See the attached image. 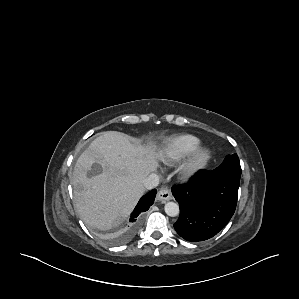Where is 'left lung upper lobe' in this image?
<instances>
[{"instance_id":"1","label":"left lung upper lobe","mask_w":299,"mask_h":299,"mask_svg":"<svg viewBox=\"0 0 299 299\" xmlns=\"http://www.w3.org/2000/svg\"><path fill=\"white\" fill-rule=\"evenodd\" d=\"M213 171L216 173L231 175L240 178L241 166L237 154L228 155L223 163Z\"/></svg>"}]
</instances>
